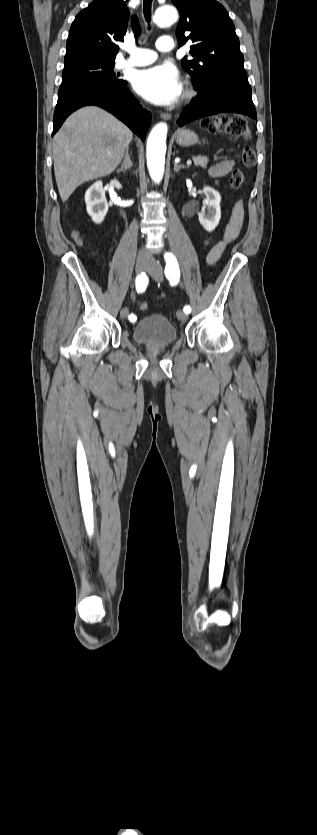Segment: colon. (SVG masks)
Here are the masks:
<instances>
[{
  "instance_id": "5ec220e1",
  "label": "colon",
  "mask_w": 317,
  "mask_h": 835,
  "mask_svg": "<svg viewBox=\"0 0 317 835\" xmlns=\"http://www.w3.org/2000/svg\"><path fill=\"white\" fill-rule=\"evenodd\" d=\"M202 127L209 133L216 134L226 132L231 137L242 138L245 140L249 138L250 134L246 120L240 116L232 118L208 117L202 121ZM255 161V150L250 146L245 147L242 153L243 165L246 167H251L254 165ZM244 180V173L241 170L236 169L231 174L230 186L233 189H239L242 187ZM138 308L142 311H146L149 308V306L145 301H139Z\"/></svg>"
}]
</instances>
